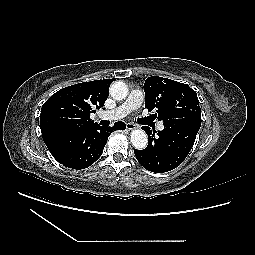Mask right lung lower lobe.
<instances>
[{
  "mask_svg": "<svg viewBox=\"0 0 255 255\" xmlns=\"http://www.w3.org/2000/svg\"><path fill=\"white\" fill-rule=\"evenodd\" d=\"M125 128L123 122H116L113 127H102L98 124L87 127L60 140L49 151L64 166L84 169L101 156L111 132Z\"/></svg>",
  "mask_w": 255,
  "mask_h": 255,
  "instance_id": "obj_1",
  "label": "right lung lower lobe"
}]
</instances>
